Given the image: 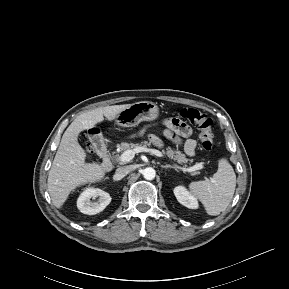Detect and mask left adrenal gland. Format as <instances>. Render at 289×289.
<instances>
[{"label":"left adrenal gland","instance_id":"1","mask_svg":"<svg viewBox=\"0 0 289 289\" xmlns=\"http://www.w3.org/2000/svg\"><path fill=\"white\" fill-rule=\"evenodd\" d=\"M161 167L162 168H173V169L177 170L176 167L169 165V164H166V165L161 164Z\"/></svg>","mask_w":289,"mask_h":289}]
</instances>
